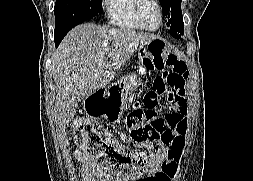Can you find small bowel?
<instances>
[{
	"label": "small bowel",
	"mask_w": 253,
	"mask_h": 181,
	"mask_svg": "<svg viewBox=\"0 0 253 181\" xmlns=\"http://www.w3.org/2000/svg\"><path fill=\"white\" fill-rule=\"evenodd\" d=\"M145 65L149 69H159L157 67V62L156 60H153V57L147 58ZM186 107L187 103L184 106V110H186ZM179 116L181 117V120L178 123L179 131L175 132V156H173L164 165L152 167V169H148L144 174L114 176L103 171L87 154L76 152L75 157L81 163V175L83 181H170L171 175H173L177 170L180 151L185 147L186 144L185 134L187 131V121L184 112Z\"/></svg>",
	"instance_id": "1"
}]
</instances>
